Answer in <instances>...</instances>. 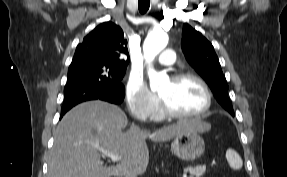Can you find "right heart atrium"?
<instances>
[{
	"label": "right heart atrium",
	"instance_id": "right-heart-atrium-1",
	"mask_svg": "<svg viewBox=\"0 0 287 177\" xmlns=\"http://www.w3.org/2000/svg\"><path fill=\"white\" fill-rule=\"evenodd\" d=\"M125 99L129 112L137 119L148 120L158 113L159 100L140 77H130L125 89Z\"/></svg>",
	"mask_w": 287,
	"mask_h": 177
}]
</instances>
